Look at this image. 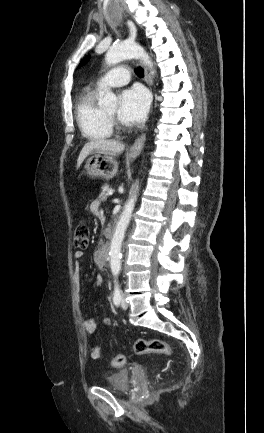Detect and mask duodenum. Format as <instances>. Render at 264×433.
Wrapping results in <instances>:
<instances>
[{
    "mask_svg": "<svg viewBox=\"0 0 264 433\" xmlns=\"http://www.w3.org/2000/svg\"><path fill=\"white\" fill-rule=\"evenodd\" d=\"M107 236L111 237L113 234L112 228L106 230ZM109 247L107 245L100 246L95 253V259L99 264H105L108 258Z\"/></svg>",
    "mask_w": 264,
    "mask_h": 433,
    "instance_id": "duodenum-1",
    "label": "duodenum"
}]
</instances>
